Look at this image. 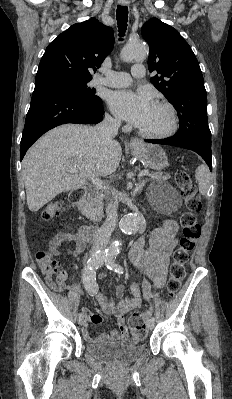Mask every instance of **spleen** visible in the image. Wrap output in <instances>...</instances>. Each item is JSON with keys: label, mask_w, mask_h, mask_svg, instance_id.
I'll list each match as a JSON object with an SVG mask.
<instances>
[{"label": "spleen", "mask_w": 232, "mask_h": 399, "mask_svg": "<svg viewBox=\"0 0 232 399\" xmlns=\"http://www.w3.org/2000/svg\"><path fill=\"white\" fill-rule=\"evenodd\" d=\"M195 178L199 184V192L202 196L207 194V190L210 186L211 174L208 166H199L196 170Z\"/></svg>", "instance_id": "1"}]
</instances>
